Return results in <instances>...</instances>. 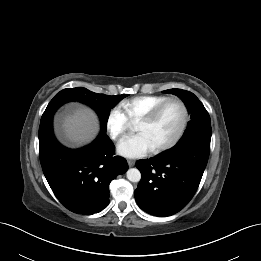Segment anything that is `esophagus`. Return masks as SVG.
Returning <instances> with one entry per match:
<instances>
[{"mask_svg":"<svg viewBox=\"0 0 261 261\" xmlns=\"http://www.w3.org/2000/svg\"><path fill=\"white\" fill-rule=\"evenodd\" d=\"M127 163L130 167L134 166L135 165V161L133 160H127Z\"/></svg>","mask_w":261,"mask_h":261,"instance_id":"34e87169","label":"esophagus"}]
</instances>
